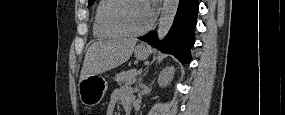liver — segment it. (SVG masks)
<instances>
[{
    "instance_id": "obj_1",
    "label": "liver",
    "mask_w": 285,
    "mask_h": 115,
    "mask_svg": "<svg viewBox=\"0 0 285 115\" xmlns=\"http://www.w3.org/2000/svg\"><path fill=\"white\" fill-rule=\"evenodd\" d=\"M137 40L135 38L97 41L88 48L80 80L98 75L127 62L132 55Z\"/></svg>"
}]
</instances>
